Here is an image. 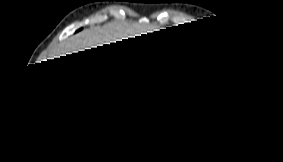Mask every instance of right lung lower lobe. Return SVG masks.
<instances>
[{
  "mask_svg": "<svg viewBox=\"0 0 283 162\" xmlns=\"http://www.w3.org/2000/svg\"><path fill=\"white\" fill-rule=\"evenodd\" d=\"M154 43L123 50L104 57L84 60L65 67L47 70L42 82L46 103L45 117L56 129L84 141L103 136L116 129L125 113L128 100L142 92L139 78L150 70V64H129L105 74H89L103 64L120 63L157 52ZM81 78H75L77 74Z\"/></svg>",
  "mask_w": 283,
  "mask_h": 162,
  "instance_id": "1",
  "label": "right lung lower lobe"
}]
</instances>
